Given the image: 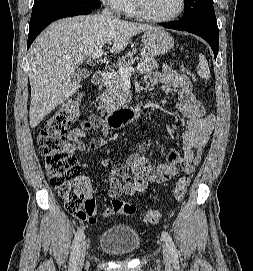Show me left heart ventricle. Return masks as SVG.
<instances>
[{
  "label": "left heart ventricle",
  "instance_id": "obj_1",
  "mask_svg": "<svg viewBox=\"0 0 253 271\" xmlns=\"http://www.w3.org/2000/svg\"><path fill=\"white\" fill-rule=\"evenodd\" d=\"M144 7L152 16L167 17L175 13L179 6V0H143Z\"/></svg>",
  "mask_w": 253,
  "mask_h": 271
}]
</instances>
